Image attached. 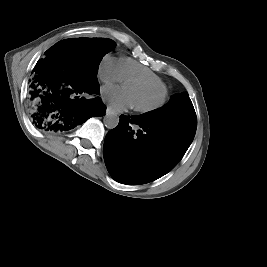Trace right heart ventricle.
I'll list each match as a JSON object with an SVG mask.
<instances>
[{"mask_svg":"<svg viewBox=\"0 0 267 267\" xmlns=\"http://www.w3.org/2000/svg\"><path fill=\"white\" fill-rule=\"evenodd\" d=\"M120 63L123 79L127 80L131 77H141L151 82L161 84L163 88L166 89L164 81L149 67L144 66L131 58H121Z\"/></svg>","mask_w":267,"mask_h":267,"instance_id":"obj_1","label":"right heart ventricle"}]
</instances>
